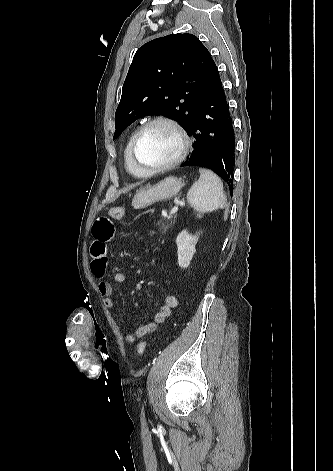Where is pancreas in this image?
<instances>
[{
    "instance_id": "cf45deb5",
    "label": "pancreas",
    "mask_w": 333,
    "mask_h": 471,
    "mask_svg": "<svg viewBox=\"0 0 333 471\" xmlns=\"http://www.w3.org/2000/svg\"><path fill=\"white\" fill-rule=\"evenodd\" d=\"M174 224H175L174 220L168 217H162L157 223L160 231L163 233H165L168 229L172 228Z\"/></svg>"
}]
</instances>
